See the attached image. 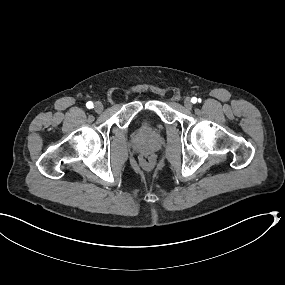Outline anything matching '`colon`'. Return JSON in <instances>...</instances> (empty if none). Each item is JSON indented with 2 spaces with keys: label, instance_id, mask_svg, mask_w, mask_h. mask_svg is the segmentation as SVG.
Wrapping results in <instances>:
<instances>
[{
  "label": "colon",
  "instance_id": "colon-1",
  "mask_svg": "<svg viewBox=\"0 0 285 285\" xmlns=\"http://www.w3.org/2000/svg\"><path fill=\"white\" fill-rule=\"evenodd\" d=\"M141 165L144 169H150L154 165V158L150 154H145L141 158Z\"/></svg>",
  "mask_w": 285,
  "mask_h": 285
}]
</instances>
